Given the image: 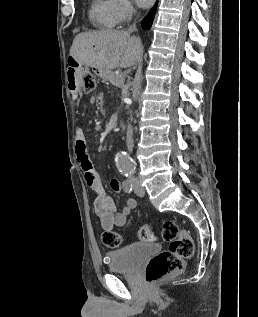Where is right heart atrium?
<instances>
[{"instance_id":"right-heart-atrium-1","label":"right heart atrium","mask_w":258,"mask_h":317,"mask_svg":"<svg viewBox=\"0 0 258 317\" xmlns=\"http://www.w3.org/2000/svg\"><path fill=\"white\" fill-rule=\"evenodd\" d=\"M114 12L116 25L121 26L131 19L134 13V7L130 0H115Z\"/></svg>"}]
</instances>
